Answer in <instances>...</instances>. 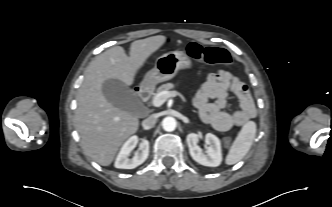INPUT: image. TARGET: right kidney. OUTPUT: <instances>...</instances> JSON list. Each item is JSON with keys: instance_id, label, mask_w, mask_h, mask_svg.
<instances>
[{"instance_id": "ca27d5eb", "label": "right kidney", "mask_w": 332, "mask_h": 207, "mask_svg": "<svg viewBox=\"0 0 332 207\" xmlns=\"http://www.w3.org/2000/svg\"><path fill=\"white\" fill-rule=\"evenodd\" d=\"M138 137H130L122 146L116 160L115 167L120 169H133L141 165L148 158L149 155V141L142 140L140 143V152L129 158V154L136 147Z\"/></svg>"}]
</instances>
